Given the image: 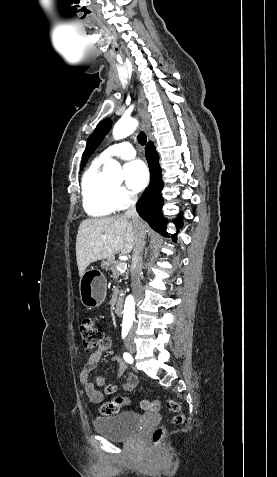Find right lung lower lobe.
Masks as SVG:
<instances>
[{"mask_svg": "<svg viewBox=\"0 0 277 477\" xmlns=\"http://www.w3.org/2000/svg\"><path fill=\"white\" fill-rule=\"evenodd\" d=\"M146 159L151 172V181L137 202L136 208L139 215L147 221L154 230L166 235L167 220L163 217L161 212L163 205L161 196L163 181L159 165V155L152 142H149L146 147ZM175 224L177 228L182 226L181 217H178Z\"/></svg>", "mask_w": 277, "mask_h": 477, "instance_id": "98d812e1", "label": "right lung lower lobe"}]
</instances>
